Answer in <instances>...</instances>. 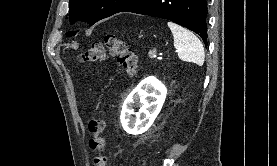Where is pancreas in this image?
<instances>
[{"label": "pancreas", "instance_id": "1", "mask_svg": "<svg viewBox=\"0 0 277 166\" xmlns=\"http://www.w3.org/2000/svg\"><path fill=\"white\" fill-rule=\"evenodd\" d=\"M151 53H154V51H150V52L148 53L149 57H150ZM150 58H151V57H150Z\"/></svg>", "mask_w": 277, "mask_h": 166}]
</instances>
